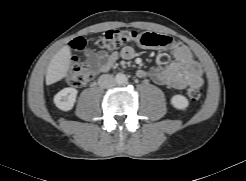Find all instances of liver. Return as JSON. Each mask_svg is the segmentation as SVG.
Here are the masks:
<instances>
[{"instance_id":"1","label":"liver","mask_w":246,"mask_h":181,"mask_svg":"<svg viewBox=\"0 0 246 181\" xmlns=\"http://www.w3.org/2000/svg\"><path fill=\"white\" fill-rule=\"evenodd\" d=\"M71 50L63 46L50 61L46 72V84L51 85L62 80L69 70Z\"/></svg>"}]
</instances>
